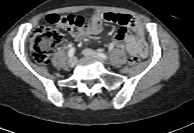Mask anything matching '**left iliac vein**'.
<instances>
[{
	"instance_id": "obj_1",
	"label": "left iliac vein",
	"mask_w": 194,
	"mask_h": 133,
	"mask_svg": "<svg viewBox=\"0 0 194 133\" xmlns=\"http://www.w3.org/2000/svg\"><path fill=\"white\" fill-rule=\"evenodd\" d=\"M82 53H83L85 56L94 57V58L98 59L101 63L105 64V62L103 61V59L100 58V57L98 56V54H97L96 52H94L93 50H91V49H84V50L82 51Z\"/></svg>"
}]
</instances>
